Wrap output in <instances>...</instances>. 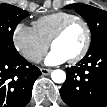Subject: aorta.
Listing matches in <instances>:
<instances>
[{"mask_svg":"<svg viewBox=\"0 0 107 107\" xmlns=\"http://www.w3.org/2000/svg\"><path fill=\"white\" fill-rule=\"evenodd\" d=\"M51 78L55 83H63L66 80V74L63 70L56 69L52 71Z\"/></svg>","mask_w":107,"mask_h":107,"instance_id":"obj_1","label":"aorta"}]
</instances>
